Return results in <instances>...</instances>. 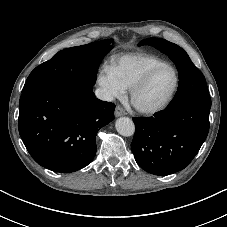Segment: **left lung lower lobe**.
<instances>
[{
    "mask_svg": "<svg viewBox=\"0 0 227 227\" xmlns=\"http://www.w3.org/2000/svg\"><path fill=\"white\" fill-rule=\"evenodd\" d=\"M209 109L198 105L167 108L150 118H133L131 149L137 164L154 175L184 169L209 131Z\"/></svg>",
    "mask_w": 227,
    "mask_h": 227,
    "instance_id": "1",
    "label": "left lung lower lobe"
}]
</instances>
